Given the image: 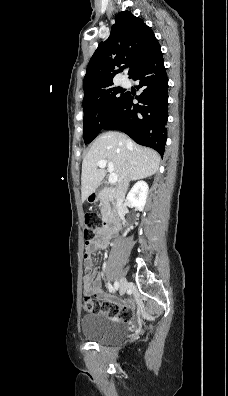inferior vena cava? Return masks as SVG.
Returning <instances> with one entry per match:
<instances>
[{
  "mask_svg": "<svg viewBox=\"0 0 228 396\" xmlns=\"http://www.w3.org/2000/svg\"><path fill=\"white\" fill-rule=\"evenodd\" d=\"M129 185V175L127 169H124L122 177L119 179L118 187L116 189V197L118 200L122 199L127 191Z\"/></svg>",
  "mask_w": 228,
  "mask_h": 396,
  "instance_id": "obj_1",
  "label": "inferior vena cava"
}]
</instances>
